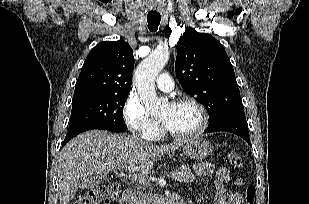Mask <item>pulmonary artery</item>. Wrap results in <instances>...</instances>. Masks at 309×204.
<instances>
[{
    "instance_id": "e3ab8cb5",
    "label": "pulmonary artery",
    "mask_w": 309,
    "mask_h": 204,
    "mask_svg": "<svg viewBox=\"0 0 309 204\" xmlns=\"http://www.w3.org/2000/svg\"><path fill=\"white\" fill-rule=\"evenodd\" d=\"M158 89L162 91H171L174 87V83L171 77L167 73L161 74L155 82Z\"/></svg>"
}]
</instances>
